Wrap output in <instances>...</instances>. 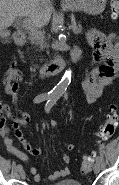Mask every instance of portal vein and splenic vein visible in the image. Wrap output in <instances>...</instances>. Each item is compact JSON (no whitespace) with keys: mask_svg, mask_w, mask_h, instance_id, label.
<instances>
[{"mask_svg":"<svg viewBox=\"0 0 119 185\" xmlns=\"http://www.w3.org/2000/svg\"><path fill=\"white\" fill-rule=\"evenodd\" d=\"M22 27H24L25 29L30 30L32 33L36 34L38 37H40L41 39H44V33L37 30L31 23L29 20L24 19V21L22 22ZM75 26H72V28Z\"/></svg>","mask_w":119,"mask_h":185,"instance_id":"obj_1","label":"portal vein and splenic vein"}]
</instances>
